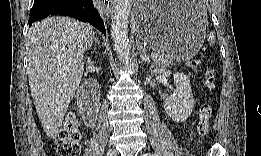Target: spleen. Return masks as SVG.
<instances>
[{
	"label": "spleen",
	"mask_w": 261,
	"mask_h": 156,
	"mask_svg": "<svg viewBox=\"0 0 261 156\" xmlns=\"http://www.w3.org/2000/svg\"><path fill=\"white\" fill-rule=\"evenodd\" d=\"M208 41H209L211 44H214V43H215L216 38H215V36L213 35V33H209V35H208Z\"/></svg>",
	"instance_id": "obj_1"
}]
</instances>
